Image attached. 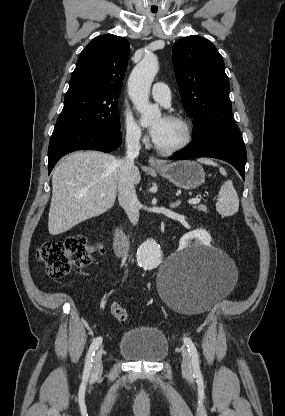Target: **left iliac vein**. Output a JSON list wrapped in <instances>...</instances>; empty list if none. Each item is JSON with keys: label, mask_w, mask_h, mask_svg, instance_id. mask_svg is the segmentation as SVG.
Wrapping results in <instances>:
<instances>
[{"label": "left iliac vein", "mask_w": 285, "mask_h": 416, "mask_svg": "<svg viewBox=\"0 0 285 416\" xmlns=\"http://www.w3.org/2000/svg\"><path fill=\"white\" fill-rule=\"evenodd\" d=\"M182 353V372L187 377H192L193 369H192V360L190 353L187 349H183Z\"/></svg>", "instance_id": "4c4485c4"}]
</instances>
